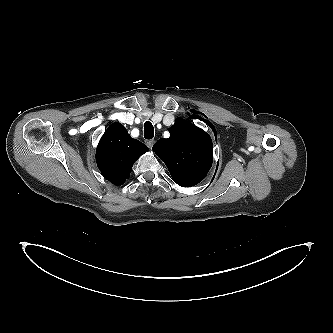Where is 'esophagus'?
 Masks as SVG:
<instances>
[{
    "mask_svg": "<svg viewBox=\"0 0 333 333\" xmlns=\"http://www.w3.org/2000/svg\"><path fill=\"white\" fill-rule=\"evenodd\" d=\"M146 145L151 149L153 147V145H154V140H148L146 142Z\"/></svg>",
    "mask_w": 333,
    "mask_h": 333,
    "instance_id": "esophagus-1",
    "label": "esophagus"
}]
</instances>
